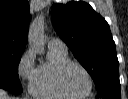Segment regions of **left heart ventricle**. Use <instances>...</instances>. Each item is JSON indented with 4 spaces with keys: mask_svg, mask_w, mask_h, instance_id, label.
<instances>
[{
    "mask_svg": "<svg viewBox=\"0 0 128 99\" xmlns=\"http://www.w3.org/2000/svg\"><path fill=\"white\" fill-rule=\"evenodd\" d=\"M64 85L74 95H83L87 92L89 82L85 73L77 66H70L64 74Z\"/></svg>",
    "mask_w": 128,
    "mask_h": 99,
    "instance_id": "left-heart-ventricle-1",
    "label": "left heart ventricle"
}]
</instances>
